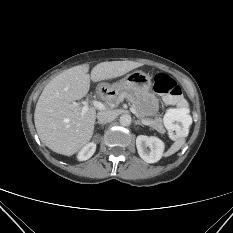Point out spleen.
Returning a JSON list of instances; mask_svg holds the SVG:
<instances>
[{"mask_svg": "<svg viewBox=\"0 0 233 233\" xmlns=\"http://www.w3.org/2000/svg\"><path fill=\"white\" fill-rule=\"evenodd\" d=\"M164 120L166 123H172L173 121H181L186 127L192 123V118L189 115V110L185 108L168 110L164 116ZM184 142V138L177 140L166 152L165 155L169 156L177 152L180 149V147L184 144Z\"/></svg>", "mask_w": 233, "mask_h": 233, "instance_id": "obj_1", "label": "spleen"}]
</instances>
